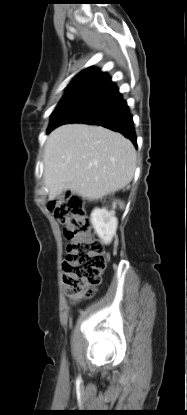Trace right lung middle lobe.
Here are the masks:
<instances>
[{
  "label": "right lung middle lobe",
  "instance_id": "1",
  "mask_svg": "<svg viewBox=\"0 0 187 415\" xmlns=\"http://www.w3.org/2000/svg\"><path fill=\"white\" fill-rule=\"evenodd\" d=\"M68 98H69V94L61 100V102L59 103L58 106H60L62 104H65L67 102Z\"/></svg>",
  "mask_w": 187,
  "mask_h": 415
}]
</instances>
